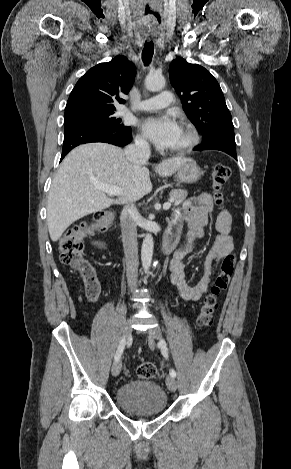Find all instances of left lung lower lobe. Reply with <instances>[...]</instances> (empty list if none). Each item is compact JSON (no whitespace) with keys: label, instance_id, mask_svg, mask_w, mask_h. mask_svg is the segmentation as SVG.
<instances>
[{"label":"left lung lower lobe","instance_id":"1","mask_svg":"<svg viewBox=\"0 0 291 469\" xmlns=\"http://www.w3.org/2000/svg\"><path fill=\"white\" fill-rule=\"evenodd\" d=\"M211 149L223 151L237 160L235 140L216 139V140H213L208 143H204L194 148V150L196 151L211 150Z\"/></svg>","mask_w":291,"mask_h":469}]
</instances>
